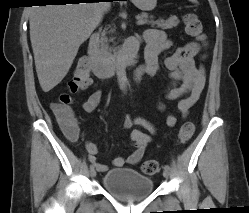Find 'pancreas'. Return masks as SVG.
I'll list each match as a JSON object with an SVG mask.
<instances>
[{"mask_svg": "<svg viewBox=\"0 0 249 213\" xmlns=\"http://www.w3.org/2000/svg\"><path fill=\"white\" fill-rule=\"evenodd\" d=\"M140 17L144 20L148 19V15L146 13H142ZM178 24H179V20L176 16H171L167 20L151 21L152 26L156 25L157 27L162 28V29H170V28L176 27ZM111 32H113V30H110L108 32L103 31L101 33V39H100V51L105 57H108V58H112L113 57L112 52L115 51V49L109 46V42H113V38L108 39V37L106 36L107 33H111Z\"/></svg>", "mask_w": 249, "mask_h": 213, "instance_id": "obj_1", "label": "pancreas"}]
</instances>
